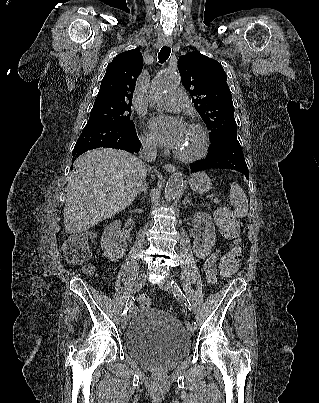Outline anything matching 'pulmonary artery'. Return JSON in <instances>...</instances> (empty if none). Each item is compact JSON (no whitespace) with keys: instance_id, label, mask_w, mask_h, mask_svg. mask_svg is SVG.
<instances>
[{"instance_id":"e3ab8cb5","label":"pulmonary artery","mask_w":319,"mask_h":403,"mask_svg":"<svg viewBox=\"0 0 319 403\" xmlns=\"http://www.w3.org/2000/svg\"><path fill=\"white\" fill-rule=\"evenodd\" d=\"M158 104L167 108L185 109L189 106V101L182 89H173L160 97Z\"/></svg>"}]
</instances>
